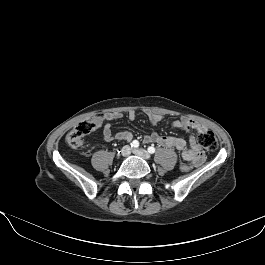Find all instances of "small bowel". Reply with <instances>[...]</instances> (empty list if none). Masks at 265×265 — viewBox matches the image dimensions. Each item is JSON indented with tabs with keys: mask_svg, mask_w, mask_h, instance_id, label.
Masks as SVG:
<instances>
[{
	"mask_svg": "<svg viewBox=\"0 0 265 265\" xmlns=\"http://www.w3.org/2000/svg\"><path fill=\"white\" fill-rule=\"evenodd\" d=\"M144 113L147 115L150 123L152 125H158L163 121V116L160 113L151 111L149 109L144 110ZM136 116L134 110L128 112L129 120H133ZM122 117V114L119 112H112L107 114L108 120H116ZM172 128L182 130L189 134L188 145L185 139L176 136H163L158 133H151L144 137L145 143H155L161 147L171 148L179 151L183 159V163L180 165V169L183 171H189L194 166L201 165L205 160V155L201 150V147L192 134V132H203L206 131V126L194 119L188 117H182L179 120L172 122ZM102 136L105 141L112 140H125L131 141L133 135L129 131H120L115 134L112 132L111 125L106 123L102 130Z\"/></svg>",
	"mask_w": 265,
	"mask_h": 265,
	"instance_id": "c3829d8e",
	"label": "small bowel"
}]
</instances>
